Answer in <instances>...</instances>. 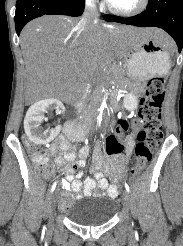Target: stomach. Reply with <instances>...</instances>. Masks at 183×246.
<instances>
[{"mask_svg": "<svg viewBox=\"0 0 183 246\" xmlns=\"http://www.w3.org/2000/svg\"><path fill=\"white\" fill-rule=\"evenodd\" d=\"M166 48L154 39L131 41L126 45L123 56L126 73L136 80L167 73L170 57Z\"/></svg>", "mask_w": 183, "mask_h": 246, "instance_id": "stomach-1", "label": "stomach"}]
</instances>
